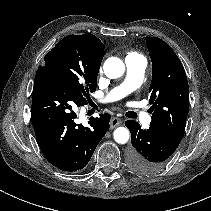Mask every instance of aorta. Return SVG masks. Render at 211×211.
I'll list each match as a JSON object with an SVG mask.
<instances>
[{"instance_id":"aorta-1","label":"aorta","mask_w":211,"mask_h":211,"mask_svg":"<svg viewBox=\"0 0 211 211\" xmlns=\"http://www.w3.org/2000/svg\"><path fill=\"white\" fill-rule=\"evenodd\" d=\"M104 73L108 78H119L124 74L125 65L123 61L117 57L108 58L103 66ZM114 139L119 144H125L129 139V130L125 127H118L115 129Z\"/></svg>"}]
</instances>
